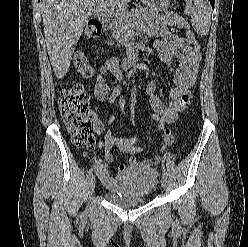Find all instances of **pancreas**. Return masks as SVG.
Here are the masks:
<instances>
[{
  "instance_id": "1",
  "label": "pancreas",
  "mask_w": 248,
  "mask_h": 247,
  "mask_svg": "<svg viewBox=\"0 0 248 247\" xmlns=\"http://www.w3.org/2000/svg\"><path fill=\"white\" fill-rule=\"evenodd\" d=\"M174 25L178 28L187 27V22L180 17H163L155 11L147 9H135L131 13L113 16L109 21L112 30V38L122 46L128 41L127 33L133 26L141 29L155 30L159 26Z\"/></svg>"
}]
</instances>
